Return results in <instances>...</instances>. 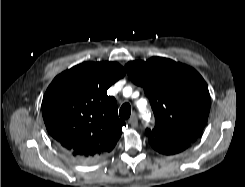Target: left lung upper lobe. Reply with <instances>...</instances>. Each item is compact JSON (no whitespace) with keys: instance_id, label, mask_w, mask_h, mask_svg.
I'll return each mask as SVG.
<instances>
[{"instance_id":"obj_1","label":"left lung upper lobe","mask_w":245,"mask_h":187,"mask_svg":"<svg viewBox=\"0 0 245 187\" xmlns=\"http://www.w3.org/2000/svg\"><path fill=\"white\" fill-rule=\"evenodd\" d=\"M130 79L144 88L155 115L149 139L162 143L194 142L204 129L210 95L206 82L193 68L173 60L152 57L126 64Z\"/></svg>"}]
</instances>
